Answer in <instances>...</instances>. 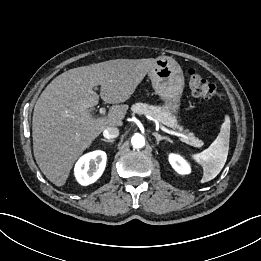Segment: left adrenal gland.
Here are the masks:
<instances>
[{"label":"left adrenal gland","mask_w":261,"mask_h":261,"mask_svg":"<svg viewBox=\"0 0 261 261\" xmlns=\"http://www.w3.org/2000/svg\"><path fill=\"white\" fill-rule=\"evenodd\" d=\"M153 136L156 137L157 144H159L160 141H162V140H165V141H168V142H172L168 137L161 136L160 134H158L156 132L153 133Z\"/></svg>","instance_id":"a2214340"}]
</instances>
